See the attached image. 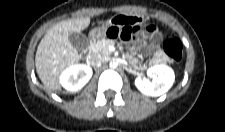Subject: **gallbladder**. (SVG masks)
Instances as JSON below:
<instances>
[{
  "instance_id": "gallbladder-1",
  "label": "gallbladder",
  "mask_w": 225,
  "mask_h": 132,
  "mask_svg": "<svg viewBox=\"0 0 225 132\" xmlns=\"http://www.w3.org/2000/svg\"><path fill=\"white\" fill-rule=\"evenodd\" d=\"M69 41L79 51H84L88 46V39L83 33L73 32L69 34Z\"/></svg>"
}]
</instances>
